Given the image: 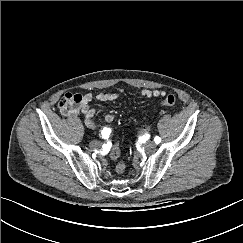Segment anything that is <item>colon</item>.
I'll return each instance as SVG.
<instances>
[{
    "mask_svg": "<svg viewBox=\"0 0 243 243\" xmlns=\"http://www.w3.org/2000/svg\"><path fill=\"white\" fill-rule=\"evenodd\" d=\"M83 100H84V96H82L81 94L67 93L59 101V105H58L59 110L64 115L73 114L79 109V107L83 103ZM161 104L163 106L174 107L177 105V98L176 96L169 94L163 98ZM110 155L112 159H114L116 162L115 163L116 172L118 173L124 172L126 168V164L121 157V150L119 144H115L112 147Z\"/></svg>",
    "mask_w": 243,
    "mask_h": 243,
    "instance_id": "5ec220e1",
    "label": "colon"
}]
</instances>
